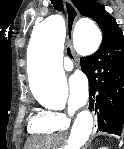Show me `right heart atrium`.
Returning <instances> with one entry per match:
<instances>
[{
    "label": "right heart atrium",
    "mask_w": 124,
    "mask_h": 149,
    "mask_svg": "<svg viewBox=\"0 0 124 149\" xmlns=\"http://www.w3.org/2000/svg\"><path fill=\"white\" fill-rule=\"evenodd\" d=\"M49 114L54 118L56 123L62 127H66L69 119L66 115L60 112H49Z\"/></svg>",
    "instance_id": "1"
}]
</instances>
